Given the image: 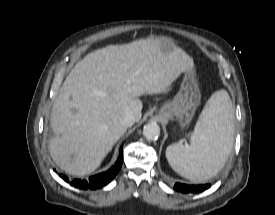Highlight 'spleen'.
Returning a JSON list of instances; mask_svg holds the SVG:
<instances>
[{
    "mask_svg": "<svg viewBox=\"0 0 275 215\" xmlns=\"http://www.w3.org/2000/svg\"><path fill=\"white\" fill-rule=\"evenodd\" d=\"M234 108L225 90L212 94L195 125L190 145L175 143L166 150L172 169L182 177L203 182L225 165L233 146Z\"/></svg>",
    "mask_w": 275,
    "mask_h": 215,
    "instance_id": "obj_1",
    "label": "spleen"
}]
</instances>
